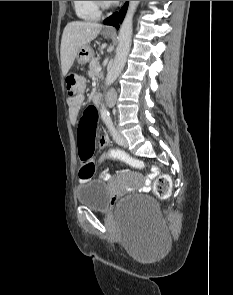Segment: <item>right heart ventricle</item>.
<instances>
[{
    "label": "right heart ventricle",
    "instance_id": "right-heart-ventricle-1",
    "mask_svg": "<svg viewBox=\"0 0 233 295\" xmlns=\"http://www.w3.org/2000/svg\"><path fill=\"white\" fill-rule=\"evenodd\" d=\"M73 8L76 15L83 20L94 21L101 16V11L94 1H73Z\"/></svg>",
    "mask_w": 233,
    "mask_h": 295
}]
</instances>
